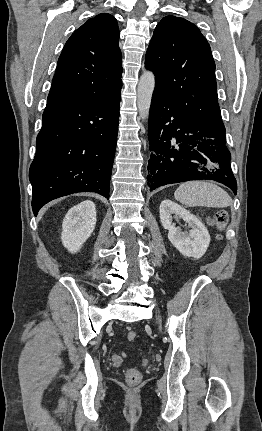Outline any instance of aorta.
<instances>
[{"mask_svg":"<svg viewBox=\"0 0 262 431\" xmlns=\"http://www.w3.org/2000/svg\"><path fill=\"white\" fill-rule=\"evenodd\" d=\"M154 88V74L151 71H145L137 87V106L142 120L148 119Z\"/></svg>","mask_w":262,"mask_h":431,"instance_id":"762f6f07","label":"aorta"}]
</instances>
